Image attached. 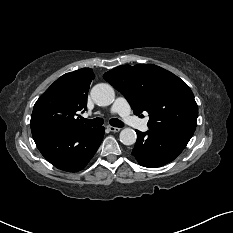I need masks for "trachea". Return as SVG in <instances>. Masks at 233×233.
<instances>
[{
  "label": "trachea",
  "instance_id": "1",
  "mask_svg": "<svg viewBox=\"0 0 233 233\" xmlns=\"http://www.w3.org/2000/svg\"><path fill=\"white\" fill-rule=\"evenodd\" d=\"M81 120L88 126L90 127H99L104 123V120L102 118H95L92 120H88L85 118H81ZM110 125L114 126V127H123L124 123L118 119H111L109 121Z\"/></svg>",
  "mask_w": 233,
  "mask_h": 233
}]
</instances>
